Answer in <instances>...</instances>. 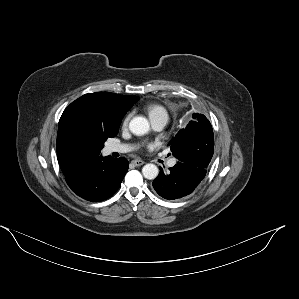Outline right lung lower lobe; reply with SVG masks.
<instances>
[{
    "mask_svg": "<svg viewBox=\"0 0 299 299\" xmlns=\"http://www.w3.org/2000/svg\"><path fill=\"white\" fill-rule=\"evenodd\" d=\"M129 163L120 157L96 156L87 159L72 174L65 176L68 186L88 201H102L111 197L119 188Z\"/></svg>",
    "mask_w": 299,
    "mask_h": 299,
    "instance_id": "obj_1",
    "label": "right lung lower lobe"
}]
</instances>
